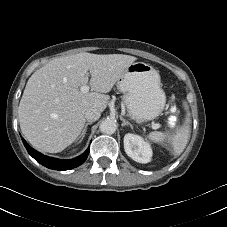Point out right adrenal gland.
Wrapping results in <instances>:
<instances>
[{"label": "right adrenal gland", "mask_w": 227, "mask_h": 227, "mask_svg": "<svg viewBox=\"0 0 227 227\" xmlns=\"http://www.w3.org/2000/svg\"><path fill=\"white\" fill-rule=\"evenodd\" d=\"M92 124V122H88V123H86L85 124V126H84V128H83V131H82V133L80 134V136H79V143L83 140V138L85 137V134H86V132H87V127H88V125H91Z\"/></svg>", "instance_id": "right-adrenal-gland-1"}]
</instances>
